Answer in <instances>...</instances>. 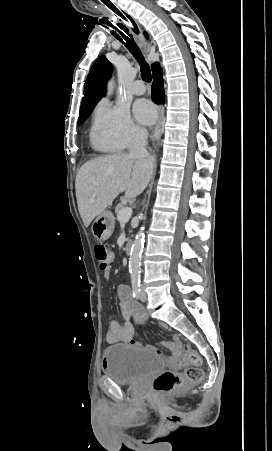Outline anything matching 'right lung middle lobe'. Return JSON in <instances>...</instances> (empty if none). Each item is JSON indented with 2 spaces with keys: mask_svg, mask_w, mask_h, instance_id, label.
Instances as JSON below:
<instances>
[{
  "mask_svg": "<svg viewBox=\"0 0 272 451\" xmlns=\"http://www.w3.org/2000/svg\"><path fill=\"white\" fill-rule=\"evenodd\" d=\"M93 108L80 109L78 124L83 123L92 112Z\"/></svg>",
  "mask_w": 272,
  "mask_h": 451,
  "instance_id": "right-lung-middle-lobe-1",
  "label": "right lung middle lobe"
}]
</instances>
